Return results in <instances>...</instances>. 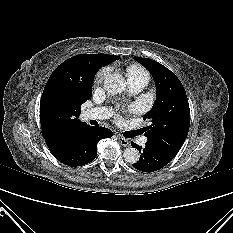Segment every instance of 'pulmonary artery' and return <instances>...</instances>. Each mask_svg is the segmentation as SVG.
Returning a JSON list of instances; mask_svg holds the SVG:
<instances>
[{
	"label": "pulmonary artery",
	"mask_w": 233,
	"mask_h": 233,
	"mask_svg": "<svg viewBox=\"0 0 233 233\" xmlns=\"http://www.w3.org/2000/svg\"><path fill=\"white\" fill-rule=\"evenodd\" d=\"M146 83L147 82L141 78H128L129 91L131 93H138L144 88ZM109 115L110 112L105 108H91L83 113V118L85 120H92V119L98 120V119L107 118ZM145 142H146V138L145 137L141 138V143H145Z\"/></svg>",
	"instance_id": "obj_1"
}]
</instances>
